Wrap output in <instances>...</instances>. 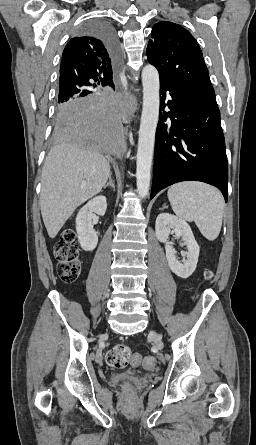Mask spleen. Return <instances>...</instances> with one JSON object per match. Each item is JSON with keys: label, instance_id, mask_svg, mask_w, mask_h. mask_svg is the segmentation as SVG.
Segmentation results:
<instances>
[{"label": "spleen", "instance_id": "obj_1", "mask_svg": "<svg viewBox=\"0 0 256 445\" xmlns=\"http://www.w3.org/2000/svg\"><path fill=\"white\" fill-rule=\"evenodd\" d=\"M167 196L178 217L194 221L208 240L218 237L224 212V198L219 190L200 182H181L172 185Z\"/></svg>", "mask_w": 256, "mask_h": 445}]
</instances>
